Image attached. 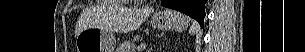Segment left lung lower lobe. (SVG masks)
<instances>
[{
    "label": "left lung lower lobe",
    "mask_w": 305,
    "mask_h": 52,
    "mask_svg": "<svg viewBox=\"0 0 305 52\" xmlns=\"http://www.w3.org/2000/svg\"><path fill=\"white\" fill-rule=\"evenodd\" d=\"M207 0H161L163 6L185 13L201 26L205 17L204 6Z\"/></svg>",
    "instance_id": "obj_1"
}]
</instances>
